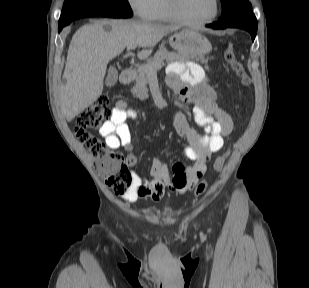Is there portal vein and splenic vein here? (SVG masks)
I'll return each mask as SVG.
<instances>
[{
  "label": "portal vein and splenic vein",
  "instance_id": "1",
  "mask_svg": "<svg viewBox=\"0 0 309 288\" xmlns=\"http://www.w3.org/2000/svg\"><path fill=\"white\" fill-rule=\"evenodd\" d=\"M134 48H135V47L130 46V47H127V50L130 51V50H132V49H134ZM162 66H164V63H159V64H157L154 68H149V73H150L151 75H155L156 72H157V70L160 69Z\"/></svg>",
  "mask_w": 309,
  "mask_h": 288
}]
</instances>
